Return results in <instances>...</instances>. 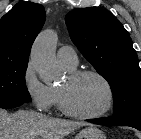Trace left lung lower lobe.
<instances>
[{
    "label": "left lung lower lobe",
    "instance_id": "obj_1",
    "mask_svg": "<svg viewBox=\"0 0 141 139\" xmlns=\"http://www.w3.org/2000/svg\"><path fill=\"white\" fill-rule=\"evenodd\" d=\"M88 122L111 126H130L141 131V110L129 112L120 116L110 118H99L87 120Z\"/></svg>",
    "mask_w": 141,
    "mask_h": 139
}]
</instances>
